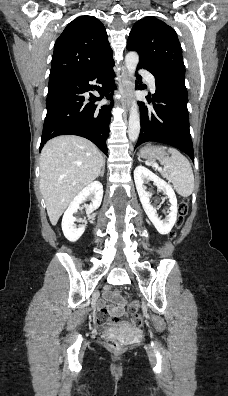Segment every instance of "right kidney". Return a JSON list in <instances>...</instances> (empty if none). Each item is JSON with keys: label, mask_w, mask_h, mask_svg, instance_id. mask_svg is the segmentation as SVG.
Here are the masks:
<instances>
[{"label": "right kidney", "mask_w": 228, "mask_h": 396, "mask_svg": "<svg viewBox=\"0 0 228 396\" xmlns=\"http://www.w3.org/2000/svg\"><path fill=\"white\" fill-rule=\"evenodd\" d=\"M90 198L92 203L85 206L86 213L90 215L94 210L99 208L103 198V186L99 181H94L83 188L76 197L72 200L69 207L65 211L62 218V230L64 236L71 242H76L84 233L85 227H76L74 223L76 218L73 216L74 213L80 208V205L87 199Z\"/></svg>", "instance_id": "obj_1"}]
</instances>
